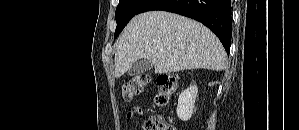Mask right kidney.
<instances>
[{"label":"right kidney","mask_w":299,"mask_h":130,"mask_svg":"<svg viewBox=\"0 0 299 130\" xmlns=\"http://www.w3.org/2000/svg\"><path fill=\"white\" fill-rule=\"evenodd\" d=\"M197 93L198 88L196 85H191L188 89L181 92L176 109L179 119L187 121L192 117Z\"/></svg>","instance_id":"right-kidney-1"}]
</instances>
